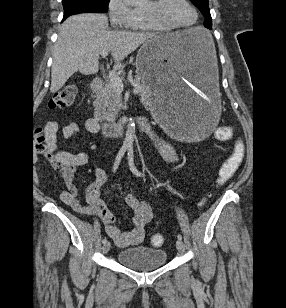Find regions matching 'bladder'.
<instances>
[{"instance_id": "1", "label": "bladder", "mask_w": 286, "mask_h": 308, "mask_svg": "<svg viewBox=\"0 0 286 308\" xmlns=\"http://www.w3.org/2000/svg\"><path fill=\"white\" fill-rule=\"evenodd\" d=\"M118 262L137 271H150L163 266L167 260L164 249H152L143 245L127 247L117 254Z\"/></svg>"}]
</instances>
